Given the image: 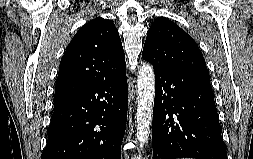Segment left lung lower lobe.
<instances>
[{"instance_id": "left-lung-lower-lobe-1", "label": "left lung lower lobe", "mask_w": 253, "mask_h": 159, "mask_svg": "<svg viewBox=\"0 0 253 159\" xmlns=\"http://www.w3.org/2000/svg\"><path fill=\"white\" fill-rule=\"evenodd\" d=\"M154 71L153 159H227L209 78Z\"/></svg>"}]
</instances>
